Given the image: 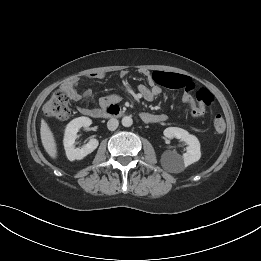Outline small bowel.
Returning <instances> with one entry per match:
<instances>
[{"mask_svg": "<svg viewBox=\"0 0 261 261\" xmlns=\"http://www.w3.org/2000/svg\"><path fill=\"white\" fill-rule=\"evenodd\" d=\"M127 74L126 71L121 72V77H125ZM141 74L147 81L148 85H140L138 87V94L140 97L147 101L153 100L157 95L161 92V86H165L168 88L174 89H183L182 100L188 104L190 107L191 113L194 116H200L204 113V108L197 104L193 98L192 91L195 87L194 83L191 82L190 78L175 73H166L156 71L151 73L148 70H142ZM104 73L102 72H94L89 75L91 79H102L104 78ZM78 79L72 78L63 84V90L67 92L70 99L72 101H80L83 98H89L91 96V91L86 90L84 93H80L77 89ZM114 100L113 97L107 96L103 97L100 100L101 106H106L107 104L111 103ZM79 112L85 115H90L93 111L97 109L86 108V107H79ZM142 116L148 118L149 123H158L163 122L167 119L166 115L164 114H150V113H143Z\"/></svg>", "mask_w": 261, "mask_h": 261, "instance_id": "obj_1", "label": "small bowel"}]
</instances>
